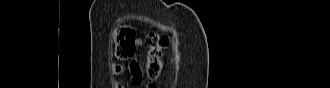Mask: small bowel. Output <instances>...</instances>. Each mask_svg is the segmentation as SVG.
<instances>
[{
  "label": "small bowel",
  "instance_id": "1",
  "mask_svg": "<svg viewBox=\"0 0 330 88\" xmlns=\"http://www.w3.org/2000/svg\"><path fill=\"white\" fill-rule=\"evenodd\" d=\"M135 45L137 48L141 46V40L139 38L135 39ZM127 71V68L123 64H115L113 65L111 69V74L113 76H120L124 74ZM128 72H129V80L133 85H140L142 82V72L137 63H131L128 67ZM116 88H121V85L119 83H116L114 85Z\"/></svg>",
  "mask_w": 330,
  "mask_h": 88
}]
</instances>
